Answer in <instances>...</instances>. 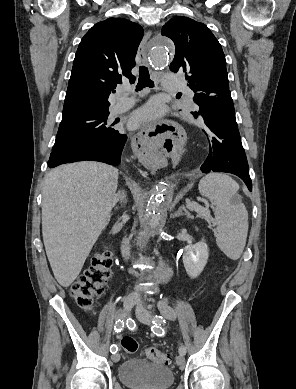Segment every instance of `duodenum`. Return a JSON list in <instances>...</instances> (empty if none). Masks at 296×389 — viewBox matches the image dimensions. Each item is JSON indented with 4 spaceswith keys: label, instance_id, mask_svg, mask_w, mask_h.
Listing matches in <instances>:
<instances>
[{
    "label": "duodenum",
    "instance_id": "1",
    "mask_svg": "<svg viewBox=\"0 0 296 389\" xmlns=\"http://www.w3.org/2000/svg\"><path fill=\"white\" fill-rule=\"evenodd\" d=\"M126 250H127V246L123 245V251H126Z\"/></svg>",
    "mask_w": 296,
    "mask_h": 389
}]
</instances>
